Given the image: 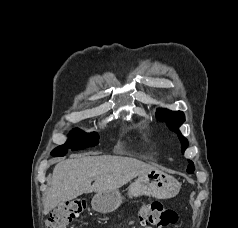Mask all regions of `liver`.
Segmentation results:
<instances>
[{
  "mask_svg": "<svg viewBox=\"0 0 238 228\" xmlns=\"http://www.w3.org/2000/svg\"><path fill=\"white\" fill-rule=\"evenodd\" d=\"M152 170L157 169L122 156H84L63 160L54 167L43 213L46 215L60 202L73 200L84 193L116 190Z\"/></svg>",
  "mask_w": 238,
  "mask_h": 228,
  "instance_id": "6515ba94",
  "label": "liver"
}]
</instances>
